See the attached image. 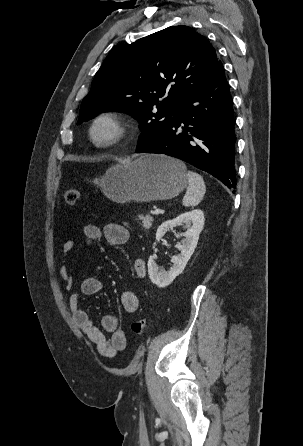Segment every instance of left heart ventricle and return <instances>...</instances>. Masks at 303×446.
Listing matches in <instances>:
<instances>
[{"label": "left heart ventricle", "mask_w": 303, "mask_h": 446, "mask_svg": "<svg viewBox=\"0 0 303 446\" xmlns=\"http://www.w3.org/2000/svg\"><path fill=\"white\" fill-rule=\"evenodd\" d=\"M111 133V129L107 125H100L96 128L94 134L98 140L106 139Z\"/></svg>", "instance_id": "left-heart-ventricle-1"}]
</instances>
